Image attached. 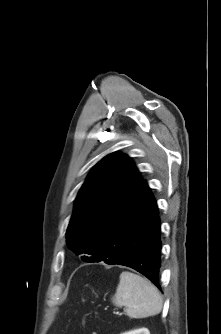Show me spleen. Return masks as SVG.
<instances>
[{
    "instance_id": "1",
    "label": "spleen",
    "mask_w": 221,
    "mask_h": 334,
    "mask_svg": "<svg viewBox=\"0 0 221 334\" xmlns=\"http://www.w3.org/2000/svg\"><path fill=\"white\" fill-rule=\"evenodd\" d=\"M112 302L114 305L125 306L130 318H145L161 312L163 301L158 289L145 278L124 271Z\"/></svg>"
}]
</instances>
